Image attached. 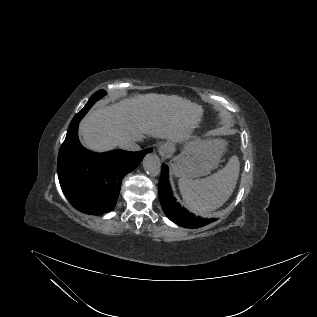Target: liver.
Returning a JSON list of instances; mask_svg holds the SVG:
<instances>
[{"label": "liver", "instance_id": "1", "mask_svg": "<svg viewBox=\"0 0 317 317\" xmlns=\"http://www.w3.org/2000/svg\"><path fill=\"white\" fill-rule=\"evenodd\" d=\"M203 108L177 95L149 93L91 110L80 122L84 145L104 152L148 137L184 143L202 120Z\"/></svg>", "mask_w": 317, "mask_h": 317}]
</instances>
